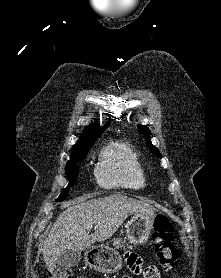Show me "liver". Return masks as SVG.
<instances>
[{
	"label": "liver",
	"mask_w": 221,
	"mask_h": 278,
	"mask_svg": "<svg viewBox=\"0 0 221 278\" xmlns=\"http://www.w3.org/2000/svg\"><path fill=\"white\" fill-rule=\"evenodd\" d=\"M84 200L67 204L45 240L43 257L49 271L54 270L64 251L81 252L95 242L112 237L130 215L150 214L155 210L150 204L122 194ZM90 224L95 225L91 235L87 233Z\"/></svg>",
	"instance_id": "obj_1"
}]
</instances>
